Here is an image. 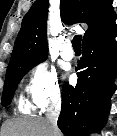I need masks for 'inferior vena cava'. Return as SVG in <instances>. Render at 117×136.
<instances>
[{"label":"inferior vena cava","instance_id":"1","mask_svg":"<svg viewBox=\"0 0 117 136\" xmlns=\"http://www.w3.org/2000/svg\"><path fill=\"white\" fill-rule=\"evenodd\" d=\"M60 109L61 103L59 100L53 101L47 109L46 117L47 121L50 124L51 131L53 133L51 134L52 136H57V132L59 131L57 126V120L59 117Z\"/></svg>","mask_w":117,"mask_h":136}]
</instances>
